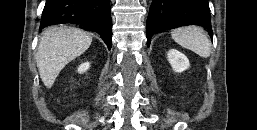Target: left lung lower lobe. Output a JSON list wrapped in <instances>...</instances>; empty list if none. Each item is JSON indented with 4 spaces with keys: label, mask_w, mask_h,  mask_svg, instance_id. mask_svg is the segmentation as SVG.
Segmentation results:
<instances>
[{
    "label": "left lung lower lobe",
    "mask_w": 257,
    "mask_h": 130,
    "mask_svg": "<svg viewBox=\"0 0 257 130\" xmlns=\"http://www.w3.org/2000/svg\"><path fill=\"white\" fill-rule=\"evenodd\" d=\"M186 25H199L213 37L208 0H153L147 18V46L154 34Z\"/></svg>",
    "instance_id": "1"
}]
</instances>
